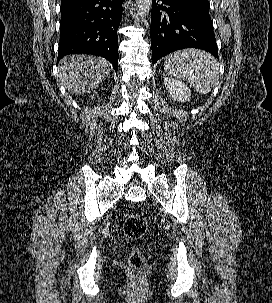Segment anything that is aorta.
Returning a JSON list of instances; mask_svg holds the SVG:
<instances>
[{
  "instance_id": "762f6f07",
  "label": "aorta",
  "mask_w": 272,
  "mask_h": 303,
  "mask_svg": "<svg viewBox=\"0 0 272 303\" xmlns=\"http://www.w3.org/2000/svg\"><path fill=\"white\" fill-rule=\"evenodd\" d=\"M137 17L144 19L150 12L152 0H136Z\"/></svg>"
}]
</instances>
